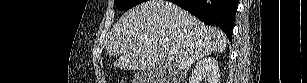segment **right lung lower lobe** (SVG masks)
<instances>
[{
  "label": "right lung lower lobe",
  "mask_w": 307,
  "mask_h": 83,
  "mask_svg": "<svg viewBox=\"0 0 307 83\" xmlns=\"http://www.w3.org/2000/svg\"><path fill=\"white\" fill-rule=\"evenodd\" d=\"M172 3L189 11L205 24L220 27L232 40L238 0H172Z\"/></svg>",
  "instance_id": "1"
}]
</instances>
